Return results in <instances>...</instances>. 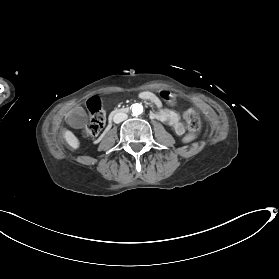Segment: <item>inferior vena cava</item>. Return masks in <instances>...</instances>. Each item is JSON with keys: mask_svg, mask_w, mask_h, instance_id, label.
Listing matches in <instances>:
<instances>
[{"mask_svg": "<svg viewBox=\"0 0 279 279\" xmlns=\"http://www.w3.org/2000/svg\"><path fill=\"white\" fill-rule=\"evenodd\" d=\"M125 119H127V115L125 113H121V112H116L114 118H113V121L115 123H119V122H122L124 121Z\"/></svg>", "mask_w": 279, "mask_h": 279, "instance_id": "1", "label": "inferior vena cava"}]
</instances>
